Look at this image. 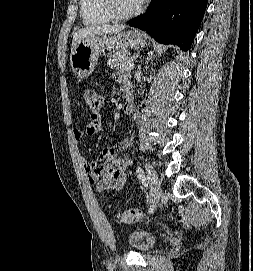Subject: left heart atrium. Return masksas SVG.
<instances>
[{"label": "left heart atrium", "instance_id": "obj_1", "mask_svg": "<svg viewBox=\"0 0 253 271\" xmlns=\"http://www.w3.org/2000/svg\"><path fill=\"white\" fill-rule=\"evenodd\" d=\"M140 2H144L145 0H139Z\"/></svg>", "mask_w": 253, "mask_h": 271}]
</instances>
